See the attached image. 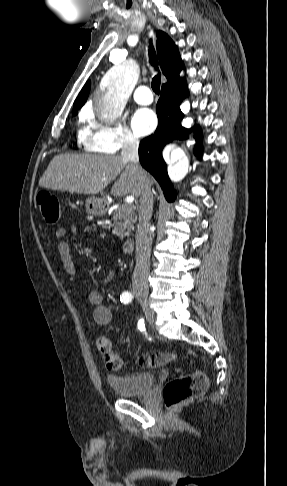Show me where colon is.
Wrapping results in <instances>:
<instances>
[{"label":"colon","instance_id":"1","mask_svg":"<svg viewBox=\"0 0 287 486\" xmlns=\"http://www.w3.org/2000/svg\"><path fill=\"white\" fill-rule=\"evenodd\" d=\"M37 202L43 220L48 224H56L60 219V204L54 195L48 191H40ZM96 347L101 353L104 365L109 370H120L123 367L122 358L114 352L110 339L100 335L96 339ZM176 359V354L170 352H158L145 355L140 358L139 364L146 368L164 366ZM207 387L206 377L201 372L177 377L169 380L163 388V400L169 411H174L186 403L193 396L205 391Z\"/></svg>","mask_w":287,"mask_h":486}]
</instances>
